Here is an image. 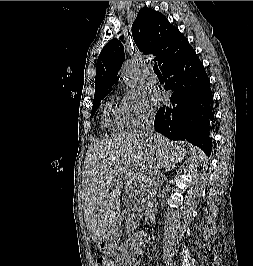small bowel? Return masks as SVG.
Listing matches in <instances>:
<instances>
[{
    "mask_svg": "<svg viewBox=\"0 0 253 266\" xmlns=\"http://www.w3.org/2000/svg\"><path fill=\"white\" fill-rule=\"evenodd\" d=\"M122 259L123 258H118V262H119V264L121 265V261H122ZM112 266H116V265H112ZM131 266H136V264L135 263H133V262H131Z\"/></svg>",
    "mask_w": 253,
    "mask_h": 266,
    "instance_id": "small-bowel-1",
    "label": "small bowel"
}]
</instances>
